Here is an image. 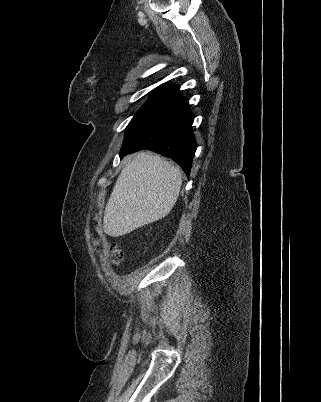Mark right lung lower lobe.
Returning <instances> with one entry per match:
<instances>
[{
    "label": "right lung lower lobe",
    "mask_w": 321,
    "mask_h": 402,
    "mask_svg": "<svg viewBox=\"0 0 321 402\" xmlns=\"http://www.w3.org/2000/svg\"><path fill=\"white\" fill-rule=\"evenodd\" d=\"M192 123L188 99L174 88L162 103L127 128L120 157L149 149L173 159L189 176L197 148Z\"/></svg>",
    "instance_id": "1"
}]
</instances>
